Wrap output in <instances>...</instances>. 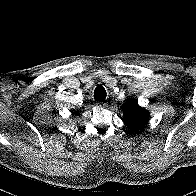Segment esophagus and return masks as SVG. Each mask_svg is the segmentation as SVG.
Here are the masks:
<instances>
[{
  "label": "esophagus",
  "mask_w": 196,
  "mask_h": 196,
  "mask_svg": "<svg viewBox=\"0 0 196 196\" xmlns=\"http://www.w3.org/2000/svg\"><path fill=\"white\" fill-rule=\"evenodd\" d=\"M97 105L100 106V107H105L106 103L99 101V102H97Z\"/></svg>",
  "instance_id": "obj_1"
}]
</instances>
